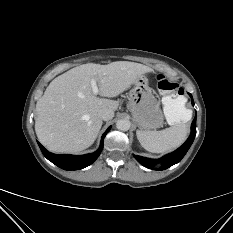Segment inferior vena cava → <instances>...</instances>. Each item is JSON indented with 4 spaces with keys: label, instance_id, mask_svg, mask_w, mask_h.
<instances>
[{
    "label": "inferior vena cava",
    "instance_id": "1",
    "mask_svg": "<svg viewBox=\"0 0 233 233\" xmlns=\"http://www.w3.org/2000/svg\"><path fill=\"white\" fill-rule=\"evenodd\" d=\"M98 116L100 119H102L104 121H108L114 117V112L112 110H109V109H101L98 112Z\"/></svg>",
    "mask_w": 233,
    "mask_h": 233
}]
</instances>
